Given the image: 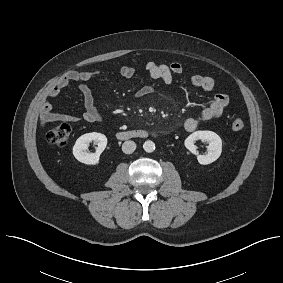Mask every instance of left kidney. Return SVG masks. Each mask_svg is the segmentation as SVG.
<instances>
[{
    "label": "left kidney",
    "mask_w": 283,
    "mask_h": 283,
    "mask_svg": "<svg viewBox=\"0 0 283 283\" xmlns=\"http://www.w3.org/2000/svg\"><path fill=\"white\" fill-rule=\"evenodd\" d=\"M197 140L207 141L209 143L208 153L206 155H198L196 152L195 142ZM184 144L190 152L197 155V160L201 165H208L216 161L222 152V140L213 131H196L186 138Z\"/></svg>",
    "instance_id": "1"
}]
</instances>
